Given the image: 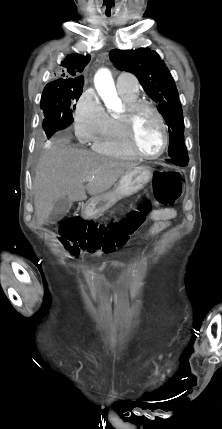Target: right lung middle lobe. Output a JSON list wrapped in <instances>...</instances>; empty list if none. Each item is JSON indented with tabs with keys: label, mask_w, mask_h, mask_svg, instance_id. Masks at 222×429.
<instances>
[{
	"label": "right lung middle lobe",
	"mask_w": 222,
	"mask_h": 429,
	"mask_svg": "<svg viewBox=\"0 0 222 429\" xmlns=\"http://www.w3.org/2000/svg\"><path fill=\"white\" fill-rule=\"evenodd\" d=\"M82 91L83 84L64 89L44 88L40 106L44 116L43 129L48 139L72 124V111Z\"/></svg>",
	"instance_id": "dd1d6c3e"
}]
</instances>
